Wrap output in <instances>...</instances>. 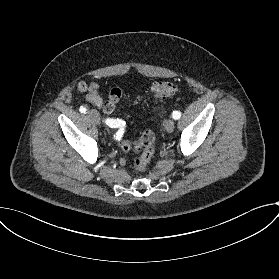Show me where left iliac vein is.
Returning a JSON list of instances; mask_svg holds the SVG:
<instances>
[{"instance_id": "1", "label": "left iliac vein", "mask_w": 279, "mask_h": 279, "mask_svg": "<svg viewBox=\"0 0 279 279\" xmlns=\"http://www.w3.org/2000/svg\"><path fill=\"white\" fill-rule=\"evenodd\" d=\"M165 128L168 133H172L174 130V122L172 120H167L165 122Z\"/></svg>"}]
</instances>
